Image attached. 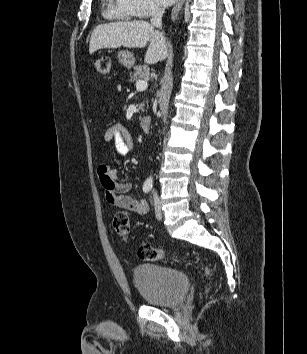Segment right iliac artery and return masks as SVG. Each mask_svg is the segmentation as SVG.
<instances>
[{
    "mask_svg": "<svg viewBox=\"0 0 307 354\" xmlns=\"http://www.w3.org/2000/svg\"><path fill=\"white\" fill-rule=\"evenodd\" d=\"M151 188H152V185H151V184L145 183V184L143 185V191H144L145 193H148V192L151 190Z\"/></svg>",
    "mask_w": 307,
    "mask_h": 354,
    "instance_id": "82829eb1",
    "label": "right iliac artery"
}]
</instances>
